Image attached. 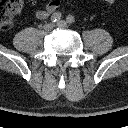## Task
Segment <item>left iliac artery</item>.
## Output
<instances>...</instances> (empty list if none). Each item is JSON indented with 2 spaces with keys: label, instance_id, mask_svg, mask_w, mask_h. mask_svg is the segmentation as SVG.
<instances>
[{
  "label": "left iliac artery",
  "instance_id": "44dca946",
  "mask_svg": "<svg viewBox=\"0 0 128 128\" xmlns=\"http://www.w3.org/2000/svg\"><path fill=\"white\" fill-rule=\"evenodd\" d=\"M66 21H67V23H69V24H73V23L75 22V19H74V17H73L72 15H68V16L66 17Z\"/></svg>",
  "mask_w": 128,
  "mask_h": 128
}]
</instances>
